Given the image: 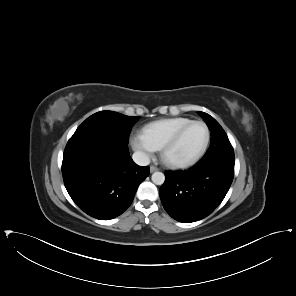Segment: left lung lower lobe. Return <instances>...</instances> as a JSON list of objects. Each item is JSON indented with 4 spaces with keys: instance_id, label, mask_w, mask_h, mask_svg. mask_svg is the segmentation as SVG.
Here are the masks:
<instances>
[{
    "instance_id": "left-lung-lower-lobe-1",
    "label": "left lung lower lobe",
    "mask_w": 296,
    "mask_h": 296,
    "mask_svg": "<svg viewBox=\"0 0 296 296\" xmlns=\"http://www.w3.org/2000/svg\"><path fill=\"white\" fill-rule=\"evenodd\" d=\"M234 157L209 164L197 163L186 171L165 172L159 190L163 207L180 222H195L207 217L222 202L234 177Z\"/></svg>"
}]
</instances>
